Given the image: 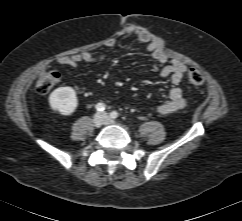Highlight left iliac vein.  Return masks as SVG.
Instances as JSON below:
<instances>
[{
    "mask_svg": "<svg viewBox=\"0 0 242 221\" xmlns=\"http://www.w3.org/2000/svg\"><path fill=\"white\" fill-rule=\"evenodd\" d=\"M102 115H104V117H105V122H104L105 124H115V122L113 120H111L107 117L106 113H102Z\"/></svg>",
    "mask_w": 242,
    "mask_h": 221,
    "instance_id": "left-iliac-vein-1",
    "label": "left iliac vein"
}]
</instances>
